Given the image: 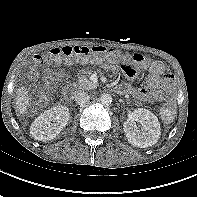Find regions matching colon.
<instances>
[{
  "instance_id": "colon-1",
  "label": "colon",
  "mask_w": 197,
  "mask_h": 197,
  "mask_svg": "<svg viewBox=\"0 0 197 197\" xmlns=\"http://www.w3.org/2000/svg\"><path fill=\"white\" fill-rule=\"evenodd\" d=\"M128 58V56H122L119 51L113 49H107L104 46H64L53 48L50 50L49 54L42 58L37 56L34 60L36 64H40L44 61L49 63L59 62L61 60L71 61L77 59L80 61L92 60L94 62H104L108 61L111 63H117L121 59ZM132 63L136 67H141L144 65L145 60L142 55H134L132 57ZM38 95L44 94V88L40 87L37 91ZM176 114L173 104L164 105L161 109V116L166 122H170L174 119Z\"/></svg>"
}]
</instances>
